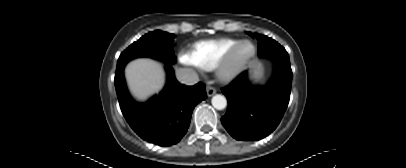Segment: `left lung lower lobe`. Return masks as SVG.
I'll list each match as a JSON object with an SVG mask.
<instances>
[{
	"instance_id": "0a47b994",
	"label": "left lung lower lobe",
	"mask_w": 406,
	"mask_h": 168,
	"mask_svg": "<svg viewBox=\"0 0 406 168\" xmlns=\"http://www.w3.org/2000/svg\"><path fill=\"white\" fill-rule=\"evenodd\" d=\"M274 61V74L266 86H251L247 72H243L222 89L228 108L221 122L233 138L260 140L281 121L289 103L292 70L289 60Z\"/></svg>"
}]
</instances>
